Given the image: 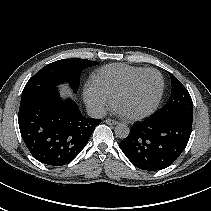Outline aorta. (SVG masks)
<instances>
[{
	"label": "aorta",
	"instance_id": "762f6f07",
	"mask_svg": "<svg viewBox=\"0 0 211 211\" xmlns=\"http://www.w3.org/2000/svg\"><path fill=\"white\" fill-rule=\"evenodd\" d=\"M130 129L128 127V125H126L125 123H119L116 125L115 129H114V133L116 135V137L120 138V139H124L129 135Z\"/></svg>",
	"mask_w": 211,
	"mask_h": 211
}]
</instances>
